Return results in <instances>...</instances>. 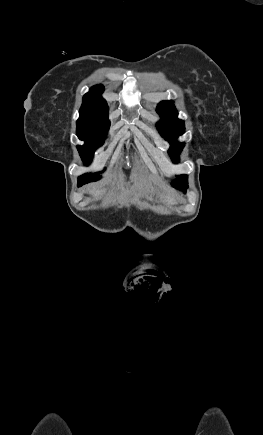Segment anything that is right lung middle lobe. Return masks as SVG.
<instances>
[{
    "instance_id": "obj_1",
    "label": "right lung middle lobe",
    "mask_w": 263,
    "mask_h": 435,
    "mask_svg": "<svg viewBox=\"0 0 263 435\" xmlns=\"http://www.w3.org/2000/svg\"><path fill=\"white\" fill-rule=\"evenodd\" d=\"M107 127H101L96 125H78L77 124V136L80 140H83L86 145L78 146V151L85 164H89L92 161L95 149L100 147L104 143L106 138ZM100 176L97 174H85L79 177L78 182L83 184L97 181Z\"/></svg>"
}]
</instances>
